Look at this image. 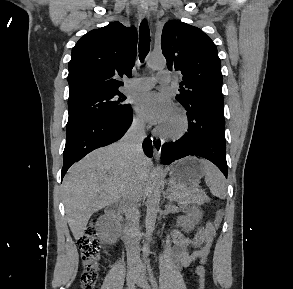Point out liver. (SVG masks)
Returning <instances> with one entry per match:
<instances>
[{"mask_svg":"<svg viewBox=\"0 0 293 289\" xmlns=\"http://www.w3.org/2000/svg\"><path fill=\"white\" fill-rule=\"evenodd\" d=\"M150 174V160L143 154L136 166L122 141L94 150L75 163L62 183L69 227L76 240L83 237L93 213L123 196L128 181L138 176L142 187Z\"/></svg>","mask_w":293,"mask_h":289,"instance_id":"obj_1","label":"liver"}]
</instances>
